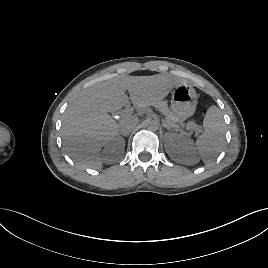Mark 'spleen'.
<instances>
[{
  "label": "spleen",
  "instance_id": "1",
  "mask_svg": "<svg viewBox=\"0 0 268 268\" xmlns=\"http://www.w3.org/2000/svg\"><path fill=\"white\" fill-rule=\"evenodd\" d=\"M203 133L196 140V148L204 163H211L221 152L225 142V123L215 105L208 108L203 120Z\"/></svg>",
  "mask_w": 268,
  "mask_h": 268
}]
</instances>
